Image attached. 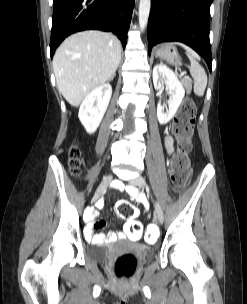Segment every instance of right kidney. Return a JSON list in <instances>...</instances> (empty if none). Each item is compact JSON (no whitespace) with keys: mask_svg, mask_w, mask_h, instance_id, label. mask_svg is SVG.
Segmentation results:
<instances>
[{"mask_svg":"<svg viewBox=\"0 0 247 304\" xmlns=\"http://www.w3.org/2000/svg\"><path fill=\"white\" fill-rule=\"evenodd\" d=\"M112 95L109 83L92 90L84 99L79 108L78 117L89 134L94 133L107 110Z\"/></svg>","mask_w":247,"mask_h":304,"instance_id":"right-kidney-1","label":"right kidney"}]
</instances>
